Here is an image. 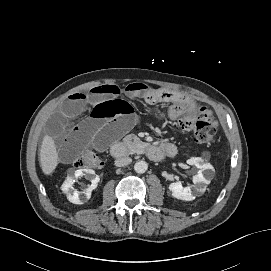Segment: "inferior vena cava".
I'll return each mask as SVG.
<instances>
[{
  "label": "inferior vena cava",
  "instance_id": "602c4592",
  "mask_svg": "<svg viewBox=\"0 0 271 271\" xmlns=\"http://www.w3.org/2000/svg\"><path fill=\"white\" fill-rule=\"evenodd\" d=\"M131 162H132V159L130 157H122V158L115 160V165L117 167H123V166L130 164Z\"/></svg>",
  "mask_w": 271,
  "mask_h": 271
}]
</instances>
